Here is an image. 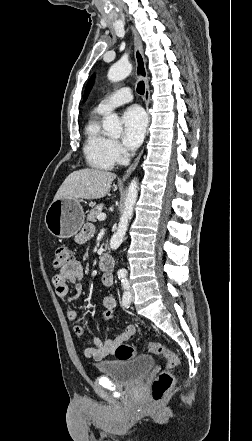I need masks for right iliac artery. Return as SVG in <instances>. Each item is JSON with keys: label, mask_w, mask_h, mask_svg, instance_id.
Masks as SVG:
<instances>
[{"label": "right iliac artery", "mask_w": 252, "mask_h": 441, "mask_svg": "<svg viewBox=\"0 0 252 441\" xmlns=\"http://www.w3.org/2000/svg\"><path fill=\"white\" fill-rule=\"evenodd\" d=\"M121 282H122V286L125 290L124 294H123V298H122V305L126 308H129V306L131 304V293L129 291V283L124 278L121 279Z\"/></svg>", "instance_id": "obj_1"}]
</instances>
